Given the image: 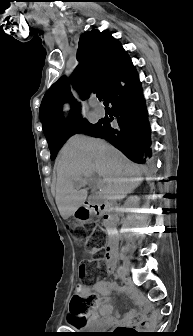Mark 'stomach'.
<instances>
[{
    "label": "stomach",
    "instance_id": "obj_1",
    "mask_svg": "<svg viewBox=\"0 0 193 336\" xmlns=\"http://www.w3.org/2000/svg\"><path fill=\"white\" fill-rule=\"evenodd\" d=\"M73 217L81 223H87L92 220L93 211L88 206H80L73 213Z\"/></svg>",
    "mask_w": 193,
    "mask_h": 336
}]
</instances>
